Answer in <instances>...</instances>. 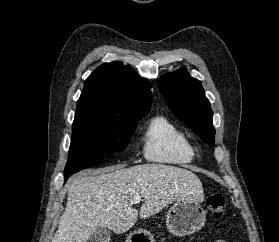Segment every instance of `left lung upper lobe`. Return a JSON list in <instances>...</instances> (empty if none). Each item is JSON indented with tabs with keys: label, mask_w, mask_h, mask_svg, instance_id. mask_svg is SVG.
<instances>
[{
	"label": "left lung upper lobe",
	"mask_w": 279,
	"mask_h": 242,
	"mask_svg": "<svg viewBox=\"0 0 279 242\" xmlns=\"http://www.w3.org/2000/svg\"><path fill=\"white\" fill-rule=\"evenodd\" d=\"M157 87L172 113L203 141L214 146L213 112L201 82L192 78L186 68H180L164 75Z\"/></svg>",
	"instance_id": "1"
}]
</instances>
